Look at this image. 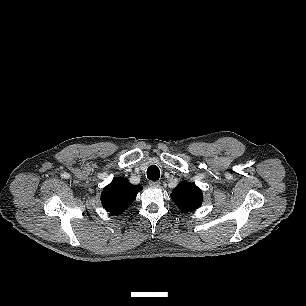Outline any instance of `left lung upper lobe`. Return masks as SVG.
Segmentation results:
<instances>
[{
  "label": "left lung upper lobe",
  "mask_w": 306,
  "mask_h": 306,
  "mask_svg": "<svg viewBox=\"0 0 306 306\" xmlns=\"http://www.w3.org/2000/svg\"><path fill=\"white\" fill-rule=\"evenodd\" d=\"M174 203L182 211H192L201 206L203 195L200 188L195 184L182 182L177 185L170 195Z\"/></svg>",
  "instance_id": "left-lung-upper-lobe-1"
}]
</instances>
